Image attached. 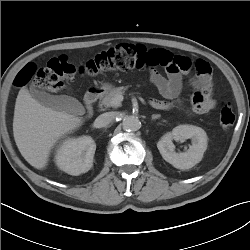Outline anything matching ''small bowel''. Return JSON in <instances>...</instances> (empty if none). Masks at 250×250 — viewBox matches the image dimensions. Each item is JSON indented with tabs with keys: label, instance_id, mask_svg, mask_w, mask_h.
Instances as JSON below:
<instances>
[{
	"label": "small bowel",
	"instance_id": "small-bowel-1",
	"mask_svg": "<svg viewBox=\"0 0 250 250\" xmlns=\"http://www.w3.org/2000/svg\"><path fill=\"white\" fill-rule=\"evenodd\" d=\"M188 66L184 69L187 70ZM210 75L208 72L202 70L199 74L190 76V84L194 87H199L200 84L209 79ZM182 72L169 73L168 77L165 78L157 71L150 72L151 82L158 88L160 93L165 97L166 100H156L159 102V109L169 110L180 105L179 95L182 89ZM216 101L210 93H205L204 100L198 103L192 104L190 111L191 115H204L208 114L215 106Z\"/></svg>",
	"mask_w": 250,
	"mask_h": 250
}]
</instances>
